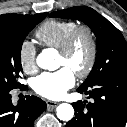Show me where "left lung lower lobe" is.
<instances>
[{"label":"left lung lower lobe","mask_w":127,"mask_h":127,"mask_svg":"<svg viewBox=\"0 0 127 127\" xmlns=\"http://www.w3.org/2000/svg\"><path fill=\"white\" fill-rule=\"evenodd\" d=\"M79 93L94 101L72 103L75 117L66 127H124L127 121V78L103 77L95 85Z\"/></svg>","instance_id":"1"}]
</instances>
